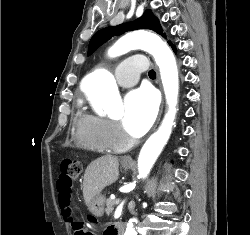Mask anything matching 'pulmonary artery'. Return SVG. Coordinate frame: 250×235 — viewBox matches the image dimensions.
I'll list each match as a JSON object with an SVG mask.
<instances>
[{
  "mask_svg": "<svg viewBox=\"0 0 250 235\" xmlns=\"http://www.w3.org/2000/svg\"><path fill=\"white\" fill-rule=\"evenodd\" d=\"M147 62L142 55L135 54L123 61L117 69V82L121 87H131L139 79V74L146 71Z\"/></svg>",
  "mask_w": 250,
  "mask_h": 235,
  "instance_id": "1",
  "label": "pulmonary artery"
}]
</instances>
